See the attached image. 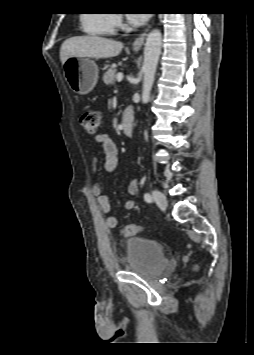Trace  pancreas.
Listing matches in <instances>:
<instances>
[{
	"label": "pancreas",
	"instance_id": "1",
	"mask_svg": "<svg viewBox=\"0 0 254 355\" xmlns=\"http://www.w3.org/2000/svg\"><path fill=\"white\" fill-rule=\"evenodd\" d=\"M117 70L113 67L109 68L103 75V81L105 84H113L116 78Z\"/></svg>",
	"mask_w": 254,
	"mask_h": 355
}]
</instances>
